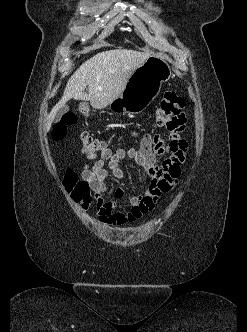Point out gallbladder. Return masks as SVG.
Instances as JSON below:
<instances>
[{"label": "gallbladder", "mask_w": 247, "mask_h": 332, "mask_svg": "<svg viewBox=\"0 0 247 332\" xmlns=\"http://www.w3.org/2000/svg\"><path fill=\"white\" fill-rule=\"evenodd\" d=\"M68 111H69V107L67 105L62 106L56 114V119H59L62 115H64Z\"/></svg>", "instance_id": "gallbladder-1"}]
</instances>
